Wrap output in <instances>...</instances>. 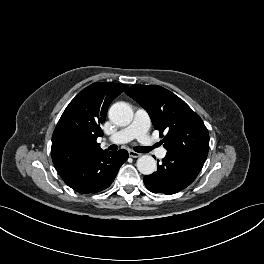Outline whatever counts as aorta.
Returning a JSON list of instances; mask_svg holds the SVG:
<instances>
[{
	"label": "aorta",
	"mask_w": 264,
	"mask_h": 264,
	"mask_svg": "<svg viewBox=\"0 0 264 264\" xmlns=\"http://www.w3.org/2000/svg\"><path fill=\"white\" fill-rule=\"evenodd\" d=\"M109 119L118 126H127L133 119V110L125 102H117L109 109ZM137 169L144 175H150L156 171L155 159L150 155H143L137 160Z\"/></svg>",
	"instance_id": "obj_1"
}]
</instances>
